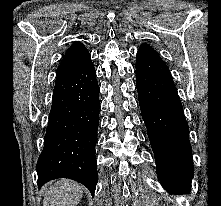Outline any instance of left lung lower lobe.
<instances>
[{
  "mask_svg": "<svg viewBox=\"0 0 221 206\" xmlns=\"http://www.w3.org/2000/svg\"><path fill=\"white\" fill-rule=\"evenodd\" d=\"M142 118L160 183L170 192H189L193 159L189 128L172 76L136 70Z\"/></svg>",
  "mask_w": 221,
  "mask_h": 206,
  "instance_id": "obj_1",
  "label": "left lung lower lobe"
}]
</instances>
